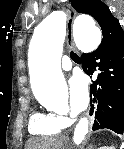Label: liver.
Masks as SVG:
<instances>
[{
	"label": "liver",
	"instance_id": "6515ba94",
	"mask_svg": "<svg viewBox=\"0 0 124 149\" xmlns=\"http://www.w3.org/2000/svg\"><path fill=\"white\" fill-rule=\"evenodd\" d=\"M53 140L48 138H33L28 140L25 149H51Z\"/></svg>",
	"mask_w": 124,
	"mask_h": 149
}]
</instances>
